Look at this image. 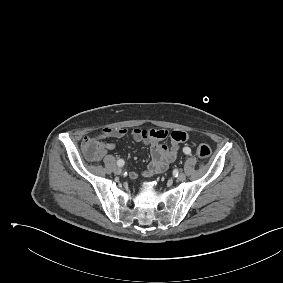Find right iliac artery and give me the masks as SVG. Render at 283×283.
<instances>
[{
	"label": "right iliac artery",
	"mask_w": 283,
	"mask_h": 283,
	"mask_svg": "<svg viewBox=\"0 0 283 283\" xmlns=\"http://www.w3.org/2000/svg\"><path fill=\"white\" fill-rule=\"evenodd\" d=\"M124 164H125V162H124L123 159H119V160L117 161V165H118L119 167L124 166Z\"/></svg>",
	"instance_id": "1"
}]
</instances>
